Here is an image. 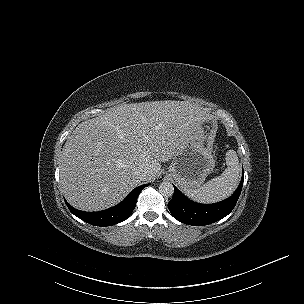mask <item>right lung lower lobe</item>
I'll list each match as a JSON object with an SVG mask.
<instances>
[{
  "label": "right lung lower lobe",
  "mask_w": 304,
  "mask_h": 304,
  "mask_svg": "<svg viewBox=\"0 0 304 304\" xmlns=\"http://www.w3.org/2000/svg\"><path fill=\"white\" fill-rule=\"evenodd\" d=\"M147 186L149 184L135 188L121 203L99 212L79 211L73 208L67 201L65 202L69 210L81 220L95 226H111L126 220L131 215L140 192Z\"/></svg>",
  "instance_id": "right-lung-lower-lobe-1"
}]
</instances>
